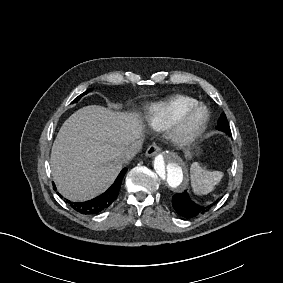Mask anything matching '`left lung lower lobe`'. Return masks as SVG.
I'll use <instances>...</instances> for the list:
<instances>
[{
  "label": "left lung lower lobe",
  "instance_id": "1",
  "mask_svg": "<svg viewBox=\"0 0 283 283\" xmlns=\"http://www.w3.org/2000/svg\"><path fill=\"white\" fill-rule=\"evenodd\" d=\"M217 129L231 136V130L224 113L221 114L218 120ZM215 203L216 202L213 204ZM172 204L176 212L185 218H193L200 214H204L212 207V204L208 206H199L195 204L190 199L186 190L183 193L174 195L172 197Z\"/></svg>",
  "mask_w": 283,
  "mask_h": 283
}]
</instances>
